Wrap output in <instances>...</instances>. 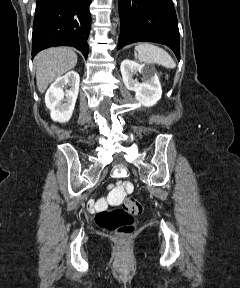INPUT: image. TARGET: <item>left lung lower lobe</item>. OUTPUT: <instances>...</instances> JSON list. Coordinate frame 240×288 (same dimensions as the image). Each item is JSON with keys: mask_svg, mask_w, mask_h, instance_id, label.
<instances>
[{"mask_svg": "<svg viewBox=\"0 0 240 288\" xmlns=\"http://www.w3.org/2000/svg\"><path fill=\"white\" fill-rule=\"evenodd\" d=\"M121 32L117 49L134 42L170 47L180 60V38L172 0H119Z\"/></svg>", "mask_w": 240, "mask_h": 288, "instance_id": "0a47b994", "label": "left lung lower lobe"}]
</instances>
